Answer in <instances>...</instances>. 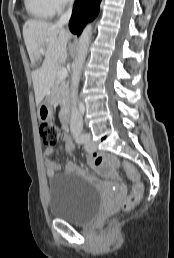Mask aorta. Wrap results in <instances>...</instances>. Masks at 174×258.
Returning a JSON list of instances; mask_svg holds the SVG:
<instances>
[{"label": "aorta", "instance_id": "aorta-1", "mask_svg": "<svg viewBox=\"0 0 174 258\" xmlns=\"http://www.w3.org/2000/svg\"><path fill=\"white\" fill-rule=\"evenodd\" d=\"M92 38V26L89 24L83 30L79 38V48L77 57L72 64L71 74V117L70 129L72 131H81L83 128L82 115L77 106L78 85L81 77V71L87 56L88 47Z\"/></svg>", "mask_w": 174, "mask_h": 258}]
</instances>
